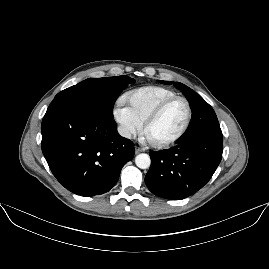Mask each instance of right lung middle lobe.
<instances>
[{"label": "right lung middle lobe", "mask_w": 269, "mask_h": 269, "mask_svg": "<svg viewBox=\"0 0 269 269\" xmlns=\"http://www.w3.org/2000/svg\"><path fill=\"white\" fill-rule=\"evenodd\" d=\"M135 82L128 76L90 78L69 87L55 96L52 103H67L87 106L113 117V106L122 89Z\"/></svg>", "instance_id": "obj_1"}]
</instances>
